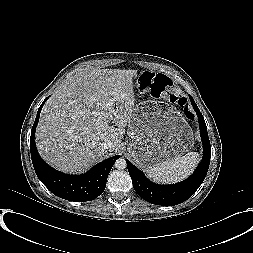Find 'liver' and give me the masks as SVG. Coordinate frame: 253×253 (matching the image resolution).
Here are the masks:
<instances>
[{"label": "liver", "instance_id": "6515ba94", "mask_svg": "<svg viewBox=\"0 0 253 253\" xmlns=\"http://www.w3.org/2000/svg\"><path fill=\"white\" fill-rule=\"evenodd\" d=\"M136 76L137 70L85 68L58 86L36 130L41 157L60 171L82 173L114 154L134 112ZM106 141L112 144L104 149Z\"/></svg>", "mask_w": 253, "mask_h": 253}]
</instances>
